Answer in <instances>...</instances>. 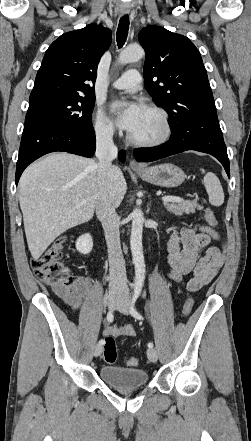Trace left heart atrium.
<instances>
[{
  "mask_svg": "<svg viewBox=\"0 0 251 441\" xmlns=\"http://www.w3.org/2000/svg\"><path fill=\"white\" fill-rule=\"evenodd\" d=\"M144 109V106L139 103L116 102L111 106V110L116 116L118 126L128 132L135 129Z\"/></svg>",
  "mask_w": 251,
  "mask_h": 441,
  "instance_id": "1",
  "label": "left heart atrium"
}]
</instances>
